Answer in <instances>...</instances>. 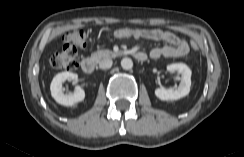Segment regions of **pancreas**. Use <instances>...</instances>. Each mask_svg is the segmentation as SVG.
<instances>
[{"label":"pancreas","instance_id":"obj_1","mask_svg":"<svg viewBox=\"0 0 244 157\" xmlns=\"http://www.w3.org/2000/svg\"><path fill=\"white\" fill-rule=\"evenodd\" d=\"M118 55H119L118 53L112 52L110 50H98V51L92 53L91 57L95 61L99 62L104 58H114Z\"/></svg>","mask_w":244,"mask_h":157}]
</instances>
